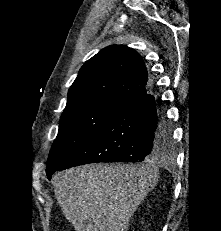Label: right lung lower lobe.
I'll use <instances>...</instances> for the list:
<instances>
[{
    "mask_svg": "<svg viewBox=\"0 0 221 231\" xmlns=\"http://www.w3.org/2000/svg\"><path fill=\"white\" fill-rule=\"evenodd\" d=\"M152 90L126 104L63 164L47 173L95 162H141L161 156L171 131Z\"/></svg>",
    "mask_w": 221,
    "mask_h": 231,
    "instance_id": "obj_1",
    "label": "right lung lower lobe"
}]
</instances>
